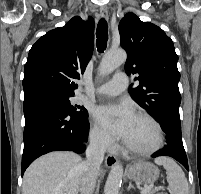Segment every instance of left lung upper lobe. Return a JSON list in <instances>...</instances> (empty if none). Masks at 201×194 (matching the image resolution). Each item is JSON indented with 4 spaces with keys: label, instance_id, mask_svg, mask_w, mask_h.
I'll use <instances>...</instances> for the list:
<instances>
[{
    "label": "left lung upper lobe",
    "instance_id": "obj_1",
    "mask_svg": "<svg viewBox=\"0 0 201 194\" xmlns=\"http://www.w3.org/2000/svg\"><path fill=\"white\" fill-rule=\"evenodd\" d=\"M121 47L127 52L125 71L136 74L139 86L131 97L158 119L162 112L179 113L181 95L178 56L172 40L158 26L128 13L119 23Z\"/></svg>",
    "mask_w": 201,
    "mask_h": 194
}]
</instances>
